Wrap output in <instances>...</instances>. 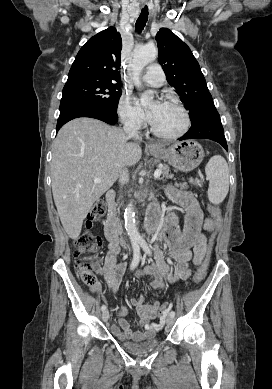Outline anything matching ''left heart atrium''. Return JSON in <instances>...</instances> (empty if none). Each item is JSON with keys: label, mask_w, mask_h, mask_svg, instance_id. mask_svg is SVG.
I'll list each match as a JSON object with an SVG mask.
<instances>
[{"label": "left heart atrium", "mask_w": 272, "mask_h": 389, "mask_svg": "<svg viewBox=\"0 0 272 389\" xmlns=\"http://www.w3.org/2000/svg\"><path fill=\"white\" fill-rule=\"evenodd\" d=\"M160 105L161 103L159 101H155L149 106L147 110V117L150 120V122L154 119Z\"/></svg>", "instance_id": "39dd6f15"}]
</instances>
